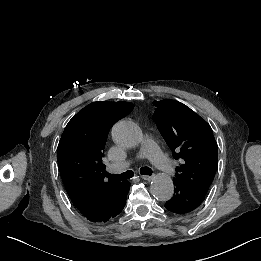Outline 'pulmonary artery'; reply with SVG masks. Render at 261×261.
Wrapping results in <instances>:
<instances>
[{
  "mask_svg": "<svg viewBox=\"0 0 261 261\" xmlns=\"http://www.w3.org/2000/svg\"><path fill=\"white\" fill-rule=\"evenodd\" d=\"M140 158H148L159 171H166L170 167V160L164 155L157 143L145 134V139L139 149ZM130 166V161L113 164L110 167L112 173H120Z\"/></svg>",
  "mask_w": 261,
  "mask_h": 261,
  "instance_id": "e3ab8cb5",
  "label": "pulmonary artery"
}]
</instances>
